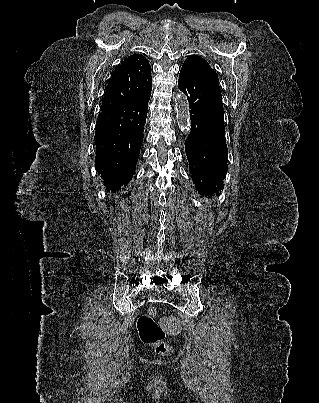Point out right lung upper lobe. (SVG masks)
I'll list each match as a JSON object with an SVG mask.
<instances>
[{"label":"right lung upper lobe","instance_id":"1","mask_svg":"<svg viewBox=\"0 0 319 403\" xmlns=\"http://www.w3.org/2000/svg\"><path fill=\"white\" fill-rule=\"evenodd\" d=\"M151 90V66L143 55L133 54L115 68L100 110L141 99Z\"/></svg>","mask_w":319,"mask_h":403}]
</instances>
